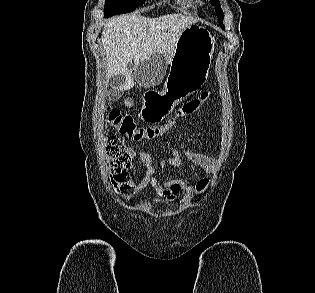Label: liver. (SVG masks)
<instances>
[{
	"label": "liver",
	"mask_w": 315,
	"mask_h": 293,
	"mask_svg": "<svg viewBox=\"0 0 315 293\" xmlns=\"http://www.w3.org/2000/svg\"><path fill=\"white\" fill-rule=\"evenodd\" d=\"M196 19L182 14H167L156 18L125 15L104 24L102 45L106 53L109 76L123 75L124 82L117 86L121 93L134 86V78L127 65H136L154 54H162L170 62L178 38Z\"/></svg>",
	"instance_id": "liver-1"
}]
</instances>
